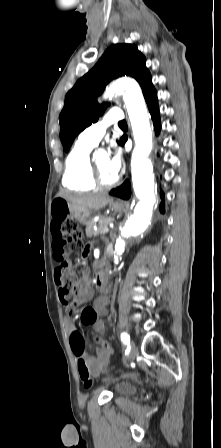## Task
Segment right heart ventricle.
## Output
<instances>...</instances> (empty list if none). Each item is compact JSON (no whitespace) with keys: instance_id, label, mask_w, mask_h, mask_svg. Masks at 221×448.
Returning <instances> with one entry per match:
<instances>
[{"instance_id":"e07e8e85","label":"right heart ventricle","mask_w":221,"mask_h":448,"mask_svg":"<svg viewBox=\"0 0 221 448\" xmlns=\"http://www.w3.org/2000/svg\"><path fill=\"white\" fill-rule=\"evenodd\" d=\"M92 147L77 142L65 160L62 178L64 187L76 191L87 192L97 188L92 179L90 151Z\"/></svg>"}]
</instances>
